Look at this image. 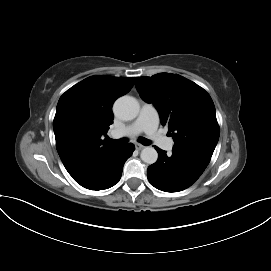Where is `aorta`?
<instances>
[{
    "mask_svg": "<svg viewBox=\"0 0 271 271\" xmlns=\"http://www.w3.org/2000/svg\"><path fill=\"white\" fill-rule=\"evenodd\" d=\"M114 113L122 120H133L139 113V103L131 96H122L114 103ZM143 162L153 164L157 161L158 153L153 147H145L140 154Z\"/></svg>",
    "mask_w": 271,
    "mask_h": 271,
    "instance_id": "762f6f07",
    "label": "aorta"
}]
</instances>
